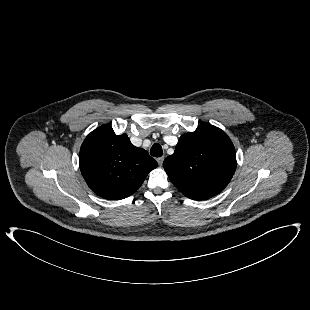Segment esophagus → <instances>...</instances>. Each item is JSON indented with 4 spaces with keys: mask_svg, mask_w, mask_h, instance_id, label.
Wrapping results in <instances>:
<instances>
[{
    "mask_svg": "<svg viewBox=\"0 0 310 310\" xmlns=\"http://www.w3.org/2000/svg\"><path fill=\"white\" fill-rule=\"evenodd\" d=\"M163 160H164V158H163V157H159V158H157V162H158L159 166H161V165H162Z\"/></svg>",
    "mask_w": 310,
    "mask_h": 310,
    "instance_id": "esophagus-1",
    "label": "esophagus"
}]
</instances>
